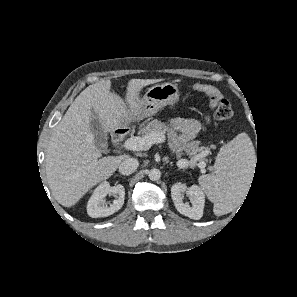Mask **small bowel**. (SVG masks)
Wrapping results in <instances>:
<instances>
[{"label": "small bowel", "instance_id": "1", "mask_svg": "<svg viewBox=\"0 0 297 297\" xmlns=\"http://www.w3.org/2000/svg\"><path fill=\"white\" fill-rule=\"evenodd\" d=\"M209 122V118L206 116L205 123ZM170 126L181 132L179 137L172 135V143L178 145L180 143L191 141L200 131L202 124L195 119H173L170 122Z\"/></svg>", "mask_w": 297, "mask_h": 297}]
</instances>
